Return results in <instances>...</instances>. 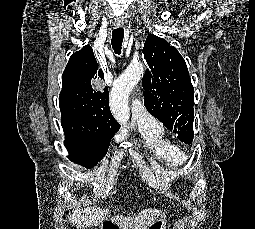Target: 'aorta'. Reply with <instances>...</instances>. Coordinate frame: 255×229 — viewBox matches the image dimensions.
I'll list each match as a JSON object with an SVG mask.
<instances>
[{
  "label": "aorta",
  "instance_id": "762f6f07",
  "mask_svg": "<svg viewBox=\"0 0 255 229\" xmlns=\"http://www.w3.org/2000/svg\"><path fill=\"white\" fill-rule=\"evenodd\" d=\"M143 73L142 63H131L113 84L110 108L115 119L121 124H126L129 120L128 96Z\"/></svg>",
  "mask_w": 255,
  "mask_h": 229
}]
</instances>
